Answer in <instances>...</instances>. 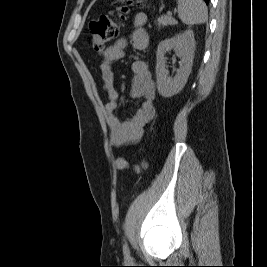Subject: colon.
Instances as JSON below:
<instances>
[{
  "instance_id": "1",
  "label": "colon",
  "mask_w": 267,
  "mask_h": 267,
  "mask_svg": "<svg viewBox=\"0 0 267 267\" xmlns=\"http://www.w3.org/2000/svg\"><path fill=\"white\" fill-rule=\"evenodd\" d=\"M128 8L126 6L117 9V14L120 18H123L127 13ZM120 29V21L111 15H102L97 19L90 22L91 41L95 51L104 53L108 44L117 36ZM116 167L119 170H126L130 167L128 161L123 158L116 159ZM146 163L142 162L139 165L134 166L136 172H140L145 168Z\"/></svg>"
}]
</instances>
